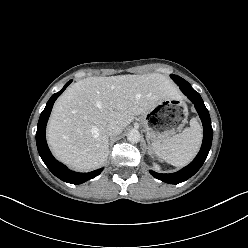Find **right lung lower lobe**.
Instances as JSON below:
<instances>
[{
    "label": "right lung lower lobe",
    "instance_id": "98d812e1",
    "mask_svg": "<svg viewBox=\"0 0 248 248\" xmlns=\"http://www.w3.org/2000/svg\"><path fill=\"white\" fill-rule=\"evenodd\" d=\"M72 82L70 80L65 84V86L62 88L61 91L55 93L52 95V97L49 99V101L46 104L45 109L40 115L38 126H37V132H36V143H37V149L39 152L40 157L42 158L43 162L46 164L48 169L59 179L72 183V184H81L87 180L93 179L96 176H98L103 168H100L98 170L89 172V173H78L69 170L65 165L58 162L53 155L51 154L45 137V129L47 125L48 118L50 116L53 104L55 100L62 94V92L67 88V86Z\"/></svg>",
    "mask_w": 248,
    "mask_h": 248
}]
</instances>
